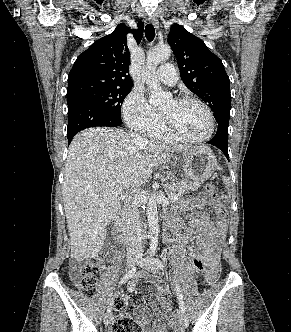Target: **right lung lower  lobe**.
<instances>
[{
	"mask_svg": "<svg viewBox=\"0 0 291 332\" xmlns=\"http://www.w3.org/2000/svg\"><path fill=\"white\" fill-rule=\"evenodd\" d=\"M121 124L112 113L87 99L77 98L68 104V144L74 135L83 129L97 126L116 127Z\"/></svg>",
	"mask_w": 291,
	"mask_h": 332,
	"instance_id": "right-lung-lower-lobe-1",
	"label": "right lung lower lobe"
}]
</instances>
